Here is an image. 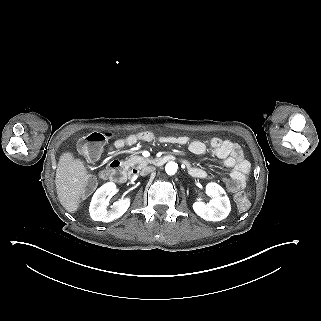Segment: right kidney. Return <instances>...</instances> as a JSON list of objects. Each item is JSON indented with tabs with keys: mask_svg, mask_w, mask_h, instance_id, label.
<instances>
[{
	"mask_svg": "<svg viewBox=\"0 0 321 321\" xmlns=\"http://www.w3.org/2000/svg\"><path fill=\"white\" fill-rule=\"evenodd\" d=\"M116 192V185L113 182L105 183L96 190L89 206V213L94 221L111 222L127 211L130 206L129 198L114 202L111 209L107 210L108 203L105 199Z\"/></svg>",
	"mask_w": 321,
	"mask_h": 321,
	"instance_id": "1",
	"label": "right kidney"
}]
</instances>
